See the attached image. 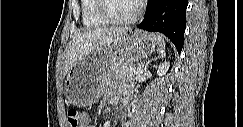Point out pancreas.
<instances>
[{
  "mask_svg": "<svg viewBox=\"0 0 243 127\" xmlns=\"http://www.w3.org/2000/svg\"><path fill=\"white\" fill-rule=\"evenodd\" d=\"M136 69L133 63H122L119 66L113 68L110 72V76L113 80H123L132 82L135 76L139 74H133V70Z\"/></svg>",
  "mask_w": 243,
  "mask_h": 127,
  "instance_id": "pancreas-1",
  "label": "pancreas"
}]
</instances>
